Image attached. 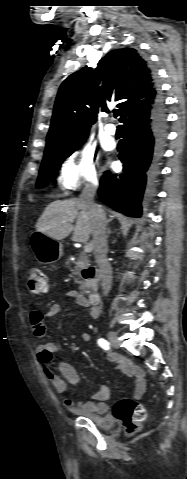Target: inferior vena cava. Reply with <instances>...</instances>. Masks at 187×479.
<instances>
[{
  "mask_svg": "<svg viewBox=\"0 0 187 479\" xmlns=\"http://www.w3.org/2000/svg\"><path fill=\"white\" fill-rule=\"evenodd\" d=\"M96 189L97 183L92 181L88 183L80 195V201L88 212L91 220L95 259L102 280L101 286L103 294L107 296L112 286V268L107 260V218L102 206L94 202Z\"/></svg>",
  "mask_w": 187,
  "mask_h": 479,
  "instance_id": "obj_1",
  "label": "inferior vena cava"
}]
</instances>
